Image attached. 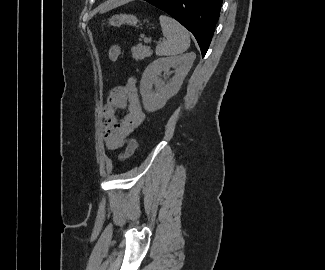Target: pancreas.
Here are the masks:
<instances>
[{"mask_svg": "<svg viewBox=\"0 0 325 270\" xmlns=\"http://www.w3.org/2000/svg\"><path fill=\"white\" fill-rule=\"evenodd\" d=\"M151 55L152 51L148 46L139 45L132 48V57L135 60H143L144 58L149 57Z\"/></svg>", "mask_w": 325, "mask_h": 270, "instance_id": "obj_1", "label": "pancreas"}]
</instances>
